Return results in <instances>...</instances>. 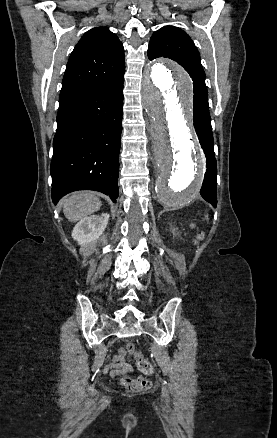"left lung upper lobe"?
I'll use <instances>...</instances> for the list:
<instances>
[{
  "label": "left lung upper lobe",
  "instance_id": "5c2ea615",
  "mask_svg": "<svg viewBox=\"0 0 277 438\" xmlns=\"http://www.w3.org/2000/svg\"><path fill=\"white\" fill-rule=\"evenodd\" d=\"M168 57L180 64L190 75L194 86V109L209 113L205 73L200 63L199 52L191 38L181 29L165 26L152 35L148 58Z\"/></svg>",
  "mask_w": 277,
  "mask_h": 438
}]
</instances>
